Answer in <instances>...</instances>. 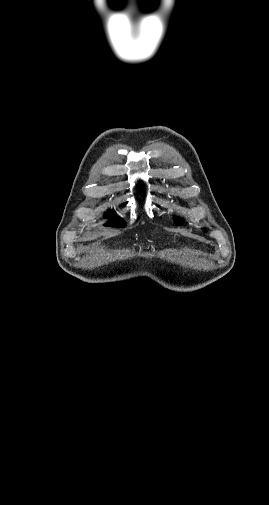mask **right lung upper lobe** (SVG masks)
Here are the masks:
<instances>
[{"label": "right lung upper lobe", "instance_id": "right-lung-upper-lobe-1", "mask_svg": "<svg viewBox=\"0 0 269 505\" xmlns=\"http://www.w3.org/2000/svg\"><path fill=\"white\" fill-rule=\"evenodd\" d=\"M139 190H140V192H141L142 194L144 193V187H143V185H142V184L139 186Z\"/></svg>", "mask_w": 269, "mask_h": 505}]
</instances>
